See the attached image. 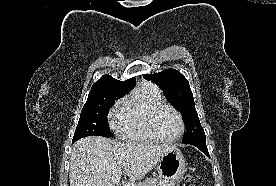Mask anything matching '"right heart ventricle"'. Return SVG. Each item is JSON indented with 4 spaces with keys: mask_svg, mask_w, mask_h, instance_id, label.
<instances>
[{
    "mask_svg": "<svg viewBox=\"0 0 276 186\" xmlns=\"http://www.w3.org/2000/svg\"><path fill=\"white\" fill-rule=\"evenodd\" d=\"M160 103H164V99L158 88L151 84L143 85L122 106L117 125L118 134L130 141L157 142L150 132L148 119L151 110Z\"/></svg>",
    "mask_w": 276,
    "mask_h": 186,
    "instance_id": "1",
    "label": "right heart ventricle"
}]
</instances>
